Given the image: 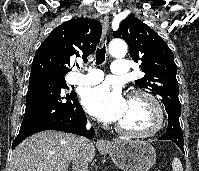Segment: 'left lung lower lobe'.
<instances>
[{"label":"left lung lower lobe","mask_w":199,"mask_h":171,"mask_svg":"<svg viewBox=\"0 0 199 171\" xmlns=\"http://www.w3.org/2000/svg\"><path fill=\"white\" fill-rule=\"evenodd\" d=\"M168 127L166 133L163 134L159 139L160 140H171L178 145L181 151L184 153V139L182 130L179 122V115L168 114Z\"/></svg>","instance_id":"0a47b994"}]
</instances>
